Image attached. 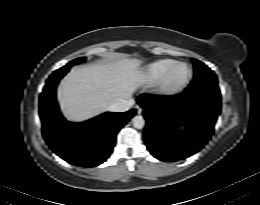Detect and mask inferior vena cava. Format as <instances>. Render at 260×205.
I'll list each match as a JSON object with an SVG mask.
<instances>
[{
	"label": "inferior vena cava",
	"mask_w": 260,
	"mask_h": 205,
	"mask_svg": "<svg viewBox=\"0 0 260 205\" xmlns=\"http://www.w3.org/2000/svg\"><path fill=\"white\" fill-rule=\"evenodd\" d=\"M134 104L133 99L128 100H121L116 103L111 104L107 110L112 112H124L131 108V106Z\"/></svg>",
	"instance_id": "inferior-vena-cava-1"
}]
</instances>
